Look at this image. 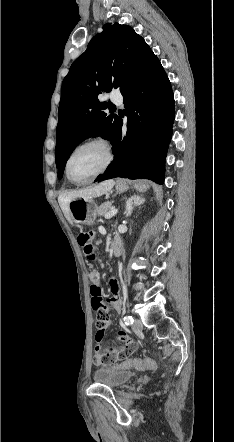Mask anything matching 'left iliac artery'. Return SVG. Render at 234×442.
I'll use <instances>...</instances> for the list:
<instances>
[{
    "label": "left iliac artery",
    "mask_w": 234,
    "mask_h": 442,
    "mask_svg": "<svg viewBox=\"0 0 234 442\" xmlns=\"http://www.w3.org/2000/svg\"><path fill=\"white\" fill-rule=\"evenodd\" d=\"M133 318L131 317V316H125L124 317V322H125V324L126 325H130V324H133Z\"/></svg>",
    "instance_id": "44dca946"
}]
</instances>
